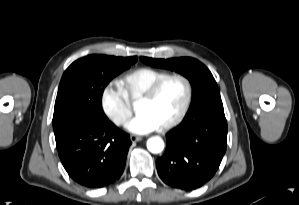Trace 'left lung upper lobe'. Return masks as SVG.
I'll list each match as a JSON object with an SVG mask.
<instances>
[{"instance_id":"1","label":"left lung upper lobe","mask_w":299,"mask_h":205,"mask_svg":"<svg viewBox=\"0 0 299 205\" xmlns=\"http://www.w3.org/2000/svg\"><path fill=\"white\" fill-rule=\"evenodd\" d=\"M140 60L154 67L174 70L189 79L193 88V96L184 120H195L211 112L223 110L216 81L208 68L198 60L190 57L166 60L140 57Z\"/></svg>"}]
</instances>
